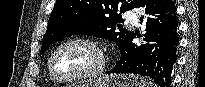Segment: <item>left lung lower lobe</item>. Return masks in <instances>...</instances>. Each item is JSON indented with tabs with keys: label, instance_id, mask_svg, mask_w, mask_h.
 Returning <instances> with one entry per match:
<instances>
[{
	"label": "left lung lower lobe",
	"instance_id": "obj_1",
	"mask_svg": "<svg viewBox=\"0 0 205 87\" xmlns=\"http://www.w3.org/2000/svg\"><path fill=\"white\" fill-rule=\"evenodd\" d=\"M140 18L146 24L144 43H133L131 36L121 51V59L109 73H134L148 76L160 87H170L171 71L176 62L178 37L177 8L172 0H139Z\"/></svg>",
	"mask_w": 205,
	"mask_h": 87
}]
</instances>
